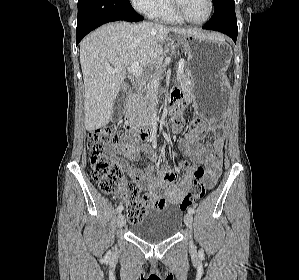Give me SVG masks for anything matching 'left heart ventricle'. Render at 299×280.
Instances as JSON below:
<instances>
[{"instance_id":"obj_1","label":"left heart ventricle","mask_w":299,"mask_h":280,"mask_svg":"<svg viewBox=\"0 0 299 280\" xmlns=\"http://www.w3.org/2000/svg\"><path fill=\"white\" fill-rule=\"evenodd\" d=\"M182 7L186 15L193 20H202L209 10L208 0H182Z\"/></svg>"}]
</instances>
